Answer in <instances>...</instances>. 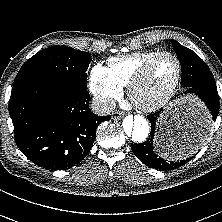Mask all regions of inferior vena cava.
I'll return each instance as SVG.
<instances>
[{"label": "inferior vena cava", "instance_id": "inferior-vena-cava-1", "mask_svg": "<svg viewBox=\"0 0 222 222\" xmlns=\"http://www.w3.org/2000/svg\"><path fill=\"white\" fill-rule=\"evenodd\" d=\"M92 111L97 115H108L115 109L113 100H94L91 104Z\"/></svg>", "mask_w": 222, "mask_h": 222}]
</instances>
